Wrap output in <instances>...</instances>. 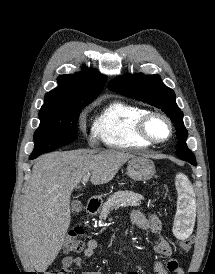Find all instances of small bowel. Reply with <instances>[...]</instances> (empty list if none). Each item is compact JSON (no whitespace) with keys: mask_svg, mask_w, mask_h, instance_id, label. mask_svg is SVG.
<instances>
[{"mask_svg":"<svg viewBox=\"0 0 215 274\" xmlns=\"http://www.w3.org/2000/svg\"><path fill=\"white\" fill-rule=\"evenodd\" d=\"M132 223L141 229H150L156 236L157 242L155 244L156 252L164 257L169 258L164 264L161 261H156L153 265V269L156 274H181L182 270L179 262L171 258L172 248L169 242L165 239L162 234V223L160 219L154 214H145L140 210H132L130 213ZM99 245L97 239H90L83 251V257L90 258L94 256ZM82 257L67 256L63 259V270L64 274H69L73 267H79L82 264ZM82 274H102L99 271H87ZM114 274H125L123 272H115ZM131 274V273H128Z\"/></svg>","mask_w":215,"mask_h":274,"instance_id":"1","label":"small bowel"}]
</instances>
